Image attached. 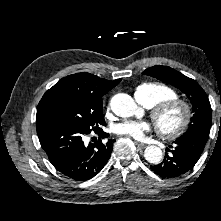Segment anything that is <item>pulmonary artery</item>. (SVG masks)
Listing matches in <instances>:
<instances>
[{"label": "pulmonary artery", "mask_w": 221, "mask_h": 221, "mask_svg": "<svg viewBox=\"0 0 221 221\" xmlns=\"http://www.w3.org/2000/svg\"><path fill=\"white\" fill-rule=\"evenodd\" d=\"M136 100L139 102V97L137 95H135ZM148 107V106H147Z\"/></svg>", "instance_id": "pulmonary-artery-1"}]
</instances>
